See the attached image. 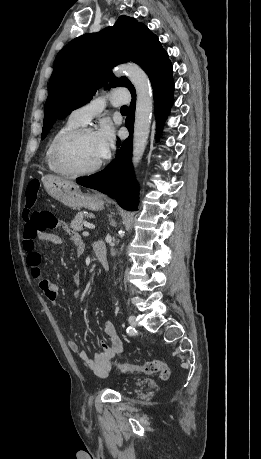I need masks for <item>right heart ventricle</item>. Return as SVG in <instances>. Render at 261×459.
I'll return each instance as SVG.
<instances>
[{"mask_svg": "<svg viewBox=\"0 0 261 459\" xmlns=\"http://www.w3.org/2000/svg\"><path fill=\"white\" fill-rule=\"evenodd\" d=\"M81 124L73 121L70 117L61 125L59 126L50 136L46 149H45V163L48 167V169L52 172L59 173L61 172L56 168L54 162H53V149L55 146L56 141L66 132L75 129L77 127H80Z\"/></svg>", "mask_w": 261, "mask_h": 459, "instance_id": "e07e8e85", "label": "right heart ventricle"}]
</instances>
